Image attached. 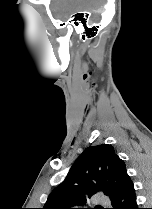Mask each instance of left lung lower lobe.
Instances as JSON below:
<instances>
[{"label":"left lung lower lobe","mask_w":152,"mask_h":209,"mask_svg":"<svg viewBox=\"0 0 152 209\" xmlns=\"http://www.w3.org/2000/svg\"><path fill=\"white\" fill-rule=\"evenodd\" d=\"M112 209H139L136 194L130 177L125 181L120 191L111 199Z\"/></svg>","instance_id":"obj_1"}]
</instances>
